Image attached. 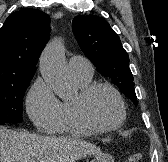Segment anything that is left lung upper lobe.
Instances as JSON below:
<instances>
[{
	"instance_id": "1",
	"label": "left lung upper lobe",
	"mask_w": 168,
	"mask_h": 162,
	"mask_svg": "<svg viewBox=\"0 0 168 162\" xmlns=\"http://www.w3.org/2000/svg\"><path fill=\"white\" fill-rule=\"evenodd\" d=\"M72 30L81 50L98 72L110 78L137 105L128 54L108 22L94 15L77 16L73 19Z\"/></svg>"
}]
</instances>
